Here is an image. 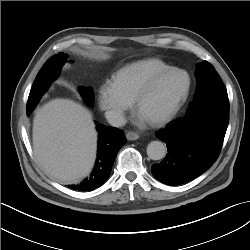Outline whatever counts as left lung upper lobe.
I'll use <instances>...</instances> for the list:
<instances>
[{
	"mask_svg": "<svg viewBox=\"0 0 250 250\" xmlns=\"http://www.w3.org/2000/svg\"><path fill=\"white\" fill-rule=\"evenodd\" d=\"M195 76L196 94L194 95V100L208 90L224 86L218 73L215 71L213 66L207 61H204L203 63L197 65L195 70Z\"/></svg>",
	"mask_w": 250,
	"mask_h": 250,
	"instance_id": "5c2ea615",
	"label": "left lung upper lobe"
}]
</instances>
